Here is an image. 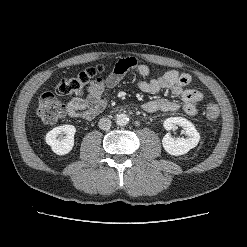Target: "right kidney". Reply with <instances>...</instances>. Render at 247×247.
<instances>
[{"label":"right kidney","instance_id":"ca27d5eb","mask_svg":"<svg viewBox=\"0 0 247 247\" xmlns=\"http://www.w3.org/2000/svg\"><path fill=\"white\" fill-rule=\"evenodd\" d=\"M75 132L76 128L73 125L58 126L46 134L45 141L54 153L65 155L73 149ZM63 135L65 136L62 138Z\"/></svg>","mask_w":247,"mask_h":247}]
</instances>
